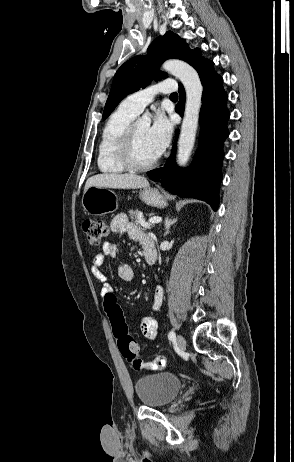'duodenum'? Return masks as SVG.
Listing matches in <instances>:
<instances>
[{"mask_svg":"<svg viewBox=\"0 0 294 462\" xmlns=\"http://www.w3.org/2000/svg\"><path fill=\"white\" fill-rule=\"evenodd\" d=\"M143 252L145 256V260L149 264H154L157 259V251L155 249L154 244L152 243H145L143 244Z\"/></svg>","mask_w":294,"mask_h":462,"instance_id":"1","label":"duodenum"}]
</instances>
